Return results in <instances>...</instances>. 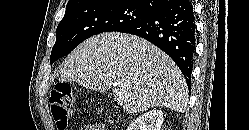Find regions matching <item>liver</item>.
Masks as SVG:
<instances>
[{"mask_svg":"<svg viewBox=\"0 0 249 130\" xmlns=\"http://www.w3.org/2000/svg\"><path fill=\"white\" fill-rule=\"evenodd\" d=\"M60 82L104 92L112 88L114 100L131 113L153 107L184 112L189 92L175 62L148 41L130 34L93 36L67 57Z\"/></svg>","mask_w":249,"mask_h":130,"instance_id":"6515ba94","label":"liver"}]
</instances>
